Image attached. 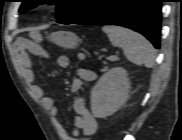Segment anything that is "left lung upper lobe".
I'll return each instance as SVG.
<instances>
[{"label": "left lung upper lobe", "mask_w": 182, "mask_h": 140, "mask_svg": "<svg viewBox=\"0 0 182 140\" xmlns=\"http://www.w3.org/2000/svg\"><path fill=\"white\" fill-rule=\"evenodd\" d=\"M19 12H25L45 2H54L58 6L56 22L71 24L89 13L102 0H21Z\"/></svg>", "instance_id": "obj_1"}]
</instances>
